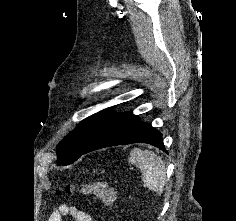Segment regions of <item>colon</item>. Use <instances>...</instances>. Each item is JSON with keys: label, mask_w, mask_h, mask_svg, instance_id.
<instances>
[{"label": "colon", "mask_w": 236, "mask_h": 221, "mask_svg": "<svg viewBox=\"0 0 236 221\" xmlns=\"http://www.w3.org/2000/svg\"><path fill=\"white\" fill-rule=\"evenodd\" d=\"M77 189L80 193L99 199L106 207L112 208L117 199V190L102 181L80 184L77 188L69 187L72 192Z\"/></svg>", "instance_id": "1"}]
</instances>
